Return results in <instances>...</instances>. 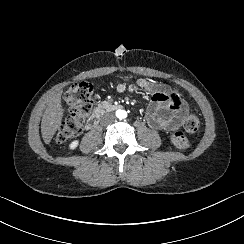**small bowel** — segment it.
<instances>
[{
  "label": "small bowel",
  "instance_id": "small-bowel-1",
  "mask_svg": "<svg viewBox=\"0 0 244 244\" xmlns=\"http://www.w3.org/2000/svg\"><path fill=\"white\" fill-rule=\"evenodd\" d=\"M118 92L144 90L151 94L144 119L148 126L157 130L170 131L179 126L183 101L172 88L148 79H137L133 84L116 83Z\"/></svg>",
  "mask_w": 244,
  "mask_h": 244
}]
</instances>
